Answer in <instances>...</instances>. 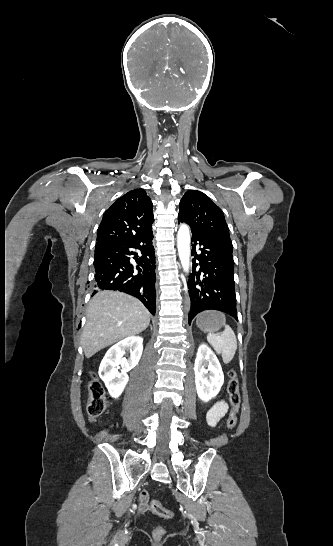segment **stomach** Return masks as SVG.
<instances>
[{
  "label": "stomach",
  "mask_w": 333,
  "mask_h": 546,
  "mask_svg": "<svg viewBox=\"0 0 333 546\" xmlns=\"http://www.w3.org/2000/svg\"><path fill=\"white\" fill-rule=\"evenodd\" d=\"M196 323L202 331L215 333L225 326V319L219 312L207 311L198 316Z\"/></svg>",
  "instance_id": "stomach-1"
}]
</instances>
